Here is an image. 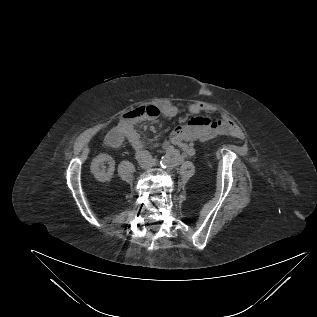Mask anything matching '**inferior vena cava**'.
I'll return each mask as SVG.
<instances>
[{"label": "inferior vena cava", "instance_id": "inferior-vena-cava-1", "mask_svg": "<svg viewBox=\"0 0 317 317\" xmlns=\"http://www.w3.org/2000/svg\"><path fill=\"white\" fill-rule=\"evenodd\" d=\"M135 158L142 168H150L154 164L153 158L147 150L137 151Z\"/></svg>", "mask_w": 317, "mask_h": 317}]
</instances>
